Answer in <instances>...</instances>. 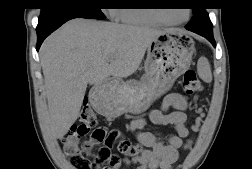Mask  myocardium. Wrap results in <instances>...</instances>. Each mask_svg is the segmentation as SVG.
<instances>
[{
  "label": "myocardium",
  "mask_w": 252,
  "mask_h": 169,
  "mask_svg": "<svg viewBox=\"0 0 252 169\" xmlns=\"http://www.w3.org/2000/svg\"><path fill=\"white\" fill-rule=\"evenodd\" d=\"M148 16L150 18H152L153 20L159 22V23H163V24H171V25H178V24H182L184 22H186L189 17H190V10H187V13H186V17L185 19L181 20V21H177V22H174V21H169L167 19H164L163 17L157 15V14H153V13H150L148 14Z\"/></svg>",
  "instance_id": "1"
}]
</instances>
